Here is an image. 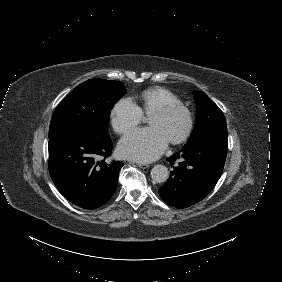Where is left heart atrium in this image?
<instances>
[{
  "label": "left heart atrium",
  "mask_w": 282,
  "mask_h": 282,
  "mask_svg": "<svg viewBox=\"0 0 282 282\" xmlns=\"http://www.w3.org/2000/svg\"><path fill=\"white\" fill-rule=\"evenodd\" d=\"M168 138L159 127L129 131L119 143L120 154L128 159L149 162L166 149Z\"/></svg>",
  "instance_id": "left-heart-atrium-1"
}]
</instances>
